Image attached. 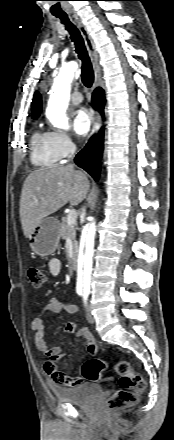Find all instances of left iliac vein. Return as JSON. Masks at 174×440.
<instances>
[{
  "label": "left iliac vein",
  "mask_w": 174,
  "mask_h": 440,
  "mask_svg": "<svg viewBox=\"0 0 174 440\" xmlns=\"http://www.w3.org/2000/svg\"><path fill=\"white\" fill-rule=\"evenodd\" d=\"M86 318L89 323L93 324L95 322L94 316L90 313V311H87Z\"/></svg>",
  "instance_id": "4c4485c4"
}]
</instances>
